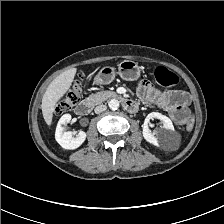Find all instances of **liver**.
I'll return each mask as SVG.
<instances>
[{
	"label": "liver",
	"mask_w": 224,
	"mask_h": 224,
	"mask_svg": "<svg viewBox=\"0 0 224 224\" xmlns=\"http://www.w3.org/2000/svg\"><path fill=\"white\" fill-rule=\"evenodd\" d=\"M77 69L71 68L57 76L48 86L42 99V113L45 122L51 126L57 102L70 89Z\"/></svg>",
	"instance_id": "obj_1"
}]
</instances>
